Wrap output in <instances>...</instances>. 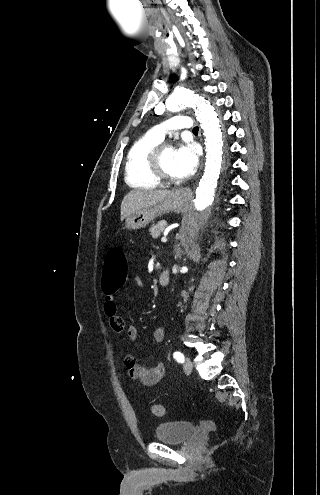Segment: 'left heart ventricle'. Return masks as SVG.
Returning <instances> with one entry per match:
<instances>
[{"instance_id":"1","label":"left heart ventricle","mask_w":320,"mask_h":495,"mask_svg":"<svg viewBox=\"0 0 320 495\" xmlns=\"http://www.w3.org/2000/svg\"><path fill=\"white\" fill-rule=\"evenodd\" d=\"M174 151L175 150L173 147H167L164 149L161 156V162L164 170L172 177L176 176L174 170Z\"/></svg>"}]
</instances>
